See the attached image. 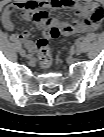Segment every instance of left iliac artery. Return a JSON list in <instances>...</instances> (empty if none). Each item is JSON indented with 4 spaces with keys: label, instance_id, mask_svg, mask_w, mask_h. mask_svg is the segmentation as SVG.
<instances>
[{
    "label": "left iliac artery",
    "instance_id": "1",
    "mask_svg": "<svg viewBox=\"0 0 104 137\" xmlns=\"http://www.w3.org/2000/svg\"><path fill=\"white\" fill-rule=\"evenodd\" d=\"M81 42V39L80 38H77L74 40V43L77 44V43H80Z\"/></svg>",
    "mask_w": 104,
    "mask_h": 137
}]
</instances>
